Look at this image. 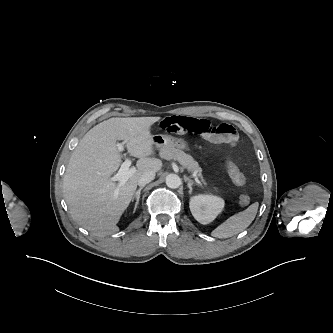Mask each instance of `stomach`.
I'll list each match as a JSON object with an SVG mask.
<instances>
[{
	"instance_id": "obj_1",
	"label": "stomach",
	"mask_w": 333,
	"mask_h": 333,
	"mask_svg": "<svg viewBox=\"0 0 333 333\" xmlns=\"http://www.w3.org/2000/svg\"><path fill=\"white\" fill-rule=\"evenodd\" d=\"M154 145L160 149L173 146L177 149H185L186 143L183 139H177L170 135H156L153 137Z\"/></svg>"
}]
</instances>
